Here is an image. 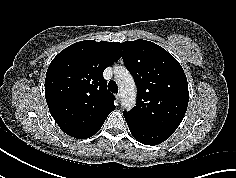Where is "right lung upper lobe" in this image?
<instances>
[{"instance_id":"cb5924a9","label":"right lung upper lobe","mask_w":236,"mask_h":178,"mask_svg":"<svg viewBox=\"0 0 236 178\" xmlns=\"http://www.w3.org/2000/svg\"><path fill=\"white\" fill-rule=\"evenodd\" d=\"M121 48L115 42L80 41L50 63L45 97L52 117L66 134L79 139L93 136L115 109L103 71L121 57Z\"/></svg>"}]
</instances>
